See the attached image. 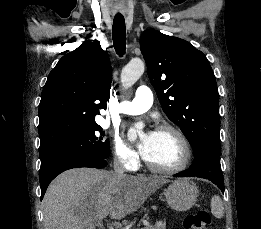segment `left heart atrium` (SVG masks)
<instances>
[{
	"label": "left heart atrium",
	"instance_id": "39dd6f15",
	"mask_svg": "<svg viewBox=\"0 0 261 229\" xmlns=\"http://www.w3.org/2000/svg\"><path fill=\"white\" fill-rule=\"evenodd\" d=\"M153 134H154V132H152V131L147 132L138 144L139 150L143 154V156L146 154V152L148 150L149 142H150Z\"/></svg>",
	"mask_w": 261,
	"mask_h": 229
}]
</instances>
